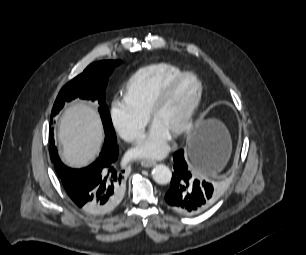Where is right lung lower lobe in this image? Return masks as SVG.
<instances>
[{
    "mask_svg": "<svg viewBox=\"0 0 306 255\" xmlns=\"http://www.w3.org/2000/svg\"><path fill=\"white\" fill-rule=\"evenodd\" d=\"M56 153V147L51 144L50 154L55 156ZM117 156L116 142H105L99 158L88 167L72 169L61 161L55 164L65 191L79 208L93 215H103L118 205L123 181L115 162Z\"/></svg>",
    "mask_w": 306,
    "mask_h": 255,
    "instance_id": "1",
    "label": "right lung lower lobe"
}]
</instances>
